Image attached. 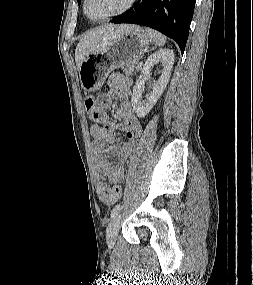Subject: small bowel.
Returning <instances> with one entry per match:
<instances>
[{
  "label": "small bowel",
  "mask_w": 253,
  "mask_h": 285,
  "mask_svg": "<svg viewBox=\"0 0 253 285\" xmlns=\"http://www.w3.org/2000/svg\"><path fill=\"white\" fill-rule=\"evenodd\" d=\"M109 90L101 94L95 108L88 113L94 120L90 127V133L94 138L93 146L96 154V192L101 202L106 205H113L122 195L115 192V186H119L125 180L128 170L129 159L137 150V139L141 136V123L136 116L129 101L131 81L120 75L113 74L108 81ZM113 96L121 99V104L117 109L120 122L116 124L108 120V109L113 104ZM125 132L127 142L119 145L114 136L115 129ZM110 156L117 158L111 162ZM106 179L113 184L108 186Z\"/></svg>",
  "instance_id": "c3829d8e"
}]
</instances>
